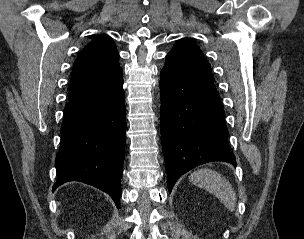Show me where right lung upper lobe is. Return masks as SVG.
I'll return each instance as SVG.
<instances>
[{"instance_id": "cb5924a9", "label": "right lung upper lobe", "mask_w": 304, "mask_h": 239, "mask_svg": "<svg viewBox=\"0 0 304 239\" xmlns=\"http://www.w3.org/2000/svg\"><path fill=\"white\" fill-rule=\"evenodd\" d=\"M118 59L119 54L112 38L100 35L91 41L74 62L70 99L98 88L122 72Z\"/></svg>"}]
</instances>
